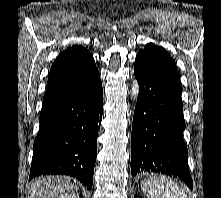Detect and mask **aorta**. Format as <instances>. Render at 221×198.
<instances>
[{
  "label": "aorta",
  "mask_w": 221,
  "mask_h": 198,
  "mask_svg": "<svg viewBox=\"0 0 221 198\" xmlns=\"http://www.w3.org/2000/svg\"><path fill=\"white\" fill-rule=\"evenodd\" d=\"M138 93H139V86H138V84L135 82L134 85H133V87H132V96L134 97V99L137 98Z\"/></svg>",
  "instance_id": "762f6f07"
}]
</instances>
